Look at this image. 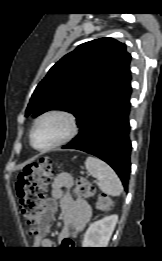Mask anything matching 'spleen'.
<instances>
[{
    "label": "spleen",
    "instance_id": "1",
    "mask_svg": "<svg viewBox=\"0 0 162 261\" xmlns=\"http://www.w3.org/2000/svg\"><path fill=\"white\" fill-rule=\"evenodd\" d=\"M85 167L90 175L98 180L101 191L107 195L119 196L123 190L122 183L114 170L102 160L88 156Z\"/></svg>",
    "mask_w": 162,
    "mask_h": 261
}]
</instances>
